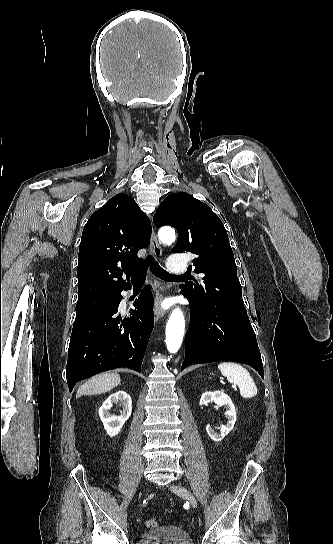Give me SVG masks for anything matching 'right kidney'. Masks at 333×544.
Instances as JSON below:
<instances>
[{"instance_id": "right-kidney-1", "label": "right kidney", "mask_w": 333, "mask_h": 544, "mask_svg": "<svg viewBox=\"0 0 333 544\" xmlns=\"http://www.w3.org/2000/svg\"><path fill=\"white\" fill-rule=\"evenodd\" d=\"M119 404L122 407L120 416L111 415L109 410L113 404ZM132 412L131 397L124 391H118L111 394L99 408V417L104 425L107 434L110 437L116 436L122 429L124 423L129 419Z\"/></svg>"}]
</instances>
